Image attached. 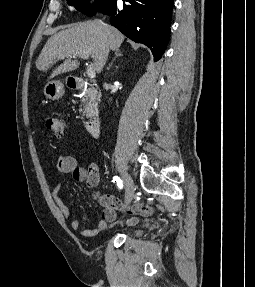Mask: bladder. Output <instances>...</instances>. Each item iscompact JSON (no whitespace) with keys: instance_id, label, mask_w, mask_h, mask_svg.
<instances>
[{"instance_id":"1","label":"bladder","mask_w":255,"mask_h":287,"mask_svg":"<svg viewBox=\"0 0 255 287\" xmlns=\"http://www.w3.org/2000/svg\"><path fill=\"white\" fill-rule=\"evenodd\" d=\"M141 233V230L140 229H134L132 230V234L134 235H139Z\"/></svg>"}]
</instances>
